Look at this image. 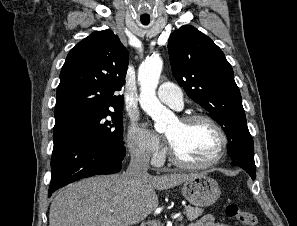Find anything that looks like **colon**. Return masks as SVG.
<instances>
[{"label":"colon","instance_id":"1","mask_svg":"<svg viewBox=\"0 0 297 226\" xmlns=\"http://www.w3.org/2000/svg\"><path fill=\"white\" fill-rule=\"evenodd\" d=\"M226 214L237 219L243 226H255L257 224V217L255 214L242 210L238 205L231 203L226 207Z\"/></svg>","mask_w":297,"mask_h":226}]
</instances>
